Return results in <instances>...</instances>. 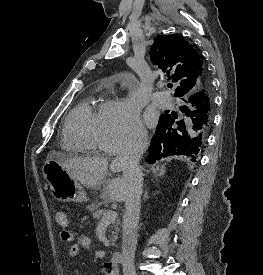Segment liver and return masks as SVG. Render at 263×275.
<instances>
[{
	"instance_id": "obj_1",
	"label": "liver",
	"mask_w": 263,
	"mask_h": 275,
	"mask_svg": "<svg viewBox=\"0 0 263 275\" xmlns=\"http://www.w3.org/2000/svg\"><path fill=\"white\" fill-rule=\"evenodd\" d=\"M49 159H54L71 175L72 178L88 187H96L102 184L108 172V160L103 157H74L68 158L60 152H50ZM112 172H119L121 168L114 159L109 165ZM158 176L165 174V166H152ZM127 195V183L122 178L115 177L108 181L104 192V198L110 202H124Z\"/></svg>"
}]
</instances>
